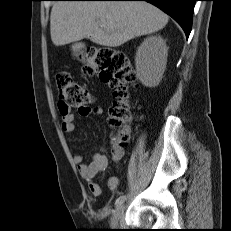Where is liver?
Segmentation results:
<instances>
[{
    "instance_id": "obj_1",
    "label": "liver",
    "mask_w": 231,
    "mask_h": 231,
    "mask_svg": "<svg viewBox=\"0 0 231 231\" xmlns=\"http://www.w3.org/2000/svg\"><path fill=\"white\" fill-rule=\"evenodd\" d=\"M168 19L147 2L58 1L50 15L51 40L62 46L88 38L101 46L118 47L163 29Z\"/></svg>"
}]
</instances>
